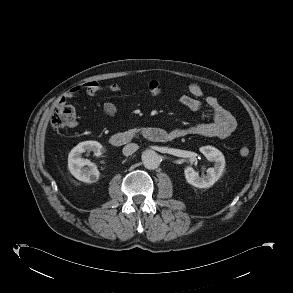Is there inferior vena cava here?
I'll return each mask as SVG.
<instances>
[{
  "instance_id": "inferior-vena-cava-1",
  "label": "inferior vena cava",
  "mask_w": 293,
  "mask_h": 293,
  "mask_svg": "<svg viewBox=\"0 0 293 293\" xmlns=\"http://www.w3.org/2000/svg\"><path fill=\"white\" fill-rule=\"evenodd\" d=\"M139 146L135 143H129L124 146L122 152L125 156L132 155L134 152L138 150Z\"/></svg>"
}]
</instances>
